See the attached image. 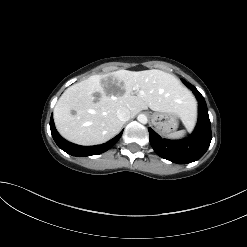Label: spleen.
<instances>
[{
	"mask_svg": "<svg viewBox=\"0 0 247 247\" xmlns=\"http://www.w3.org/2000/svg\"><path fill=\"white\" fill-rule=\"evenodd\" d=\"M186 128L187 129H190L189 126L186 125ZM186 131L185 130H180V131H177V132H174V133H171V134H168L167 136L171 139H180L182 137H184Z\"/></svg>",
	"mask_w": 247,
	"mask_h": 247,
	"instance_id": "3e777b00",
	"label": "spleen"
}]
</instances>
